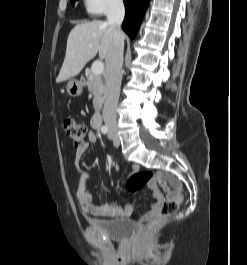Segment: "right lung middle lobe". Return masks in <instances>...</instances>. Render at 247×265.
Returning a JSON list of instances; mask_svg holds the SVG:
<instances>
[{"instance_id":"obj_1","label":"right lung middle lobe","mask_w":247,"mask_h":265,"mask_svg":"<svg viewBox=\"0 0 247 265\" xmlns=\"http://www.w3.org/2000/svg\"><path fill=\"white\" fill-rule=\"evenodd\" d=\"M75 1H76V0H71L72 5H74Z\"/></svg>"}]
</instances>
